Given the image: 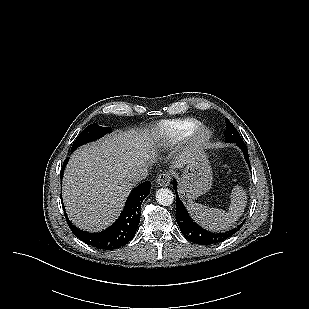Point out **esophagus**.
<instances>
[{
    "label": "esophagus",
    "mask_w": 309,
    "mask_h": 309,
    "mask_svg": "<svg viewBox=\"0 0 309 309\" xmlns=\"http://www.w3.org/2000/svg\"><path fill=\"white\" fill-rule=\"evenodd\" d=\"M171 182V174L169 172H163L156 178L158 186H168Z\"/></svg>",
    "instance_id": "34e87169"
}]
</instances>
